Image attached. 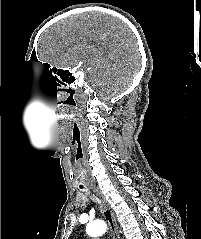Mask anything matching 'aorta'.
Segmentation results:
<instances>
[{
    "label": "aorta",
    "mask_w": 201,
    "mask_h": 239,
    "mask_svg": "<svg viewBox=\"0 0 201 239\" xmlns=\"http://www.w3.org/2000/svg\"><path fill=\"white\" fill-rule=\"evenodd\" d=\"M106 231L107 225L104 221L101 220L91 222L86 226V232L91 237L101 236L105 234Z\"/></svg>",
    "instance_id": "obj_1"
}]
</instances>
